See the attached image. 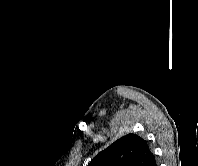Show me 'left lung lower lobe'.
<instances>
[{"instance_id":"left-lung-lower-lobe-1","label":"left lung lower lobe","mask_w":198,"mask_h":166,"mask_svg":"<svg viewBox=\"0 0 198 166\" xmlns=\"http://www.w3.org/2000/svg\"><path fill=\"white\" fill-rule=\"evenodd\" d=\"M152 166H157V165H156V161L152 164Z\"/></svg>"}]
</instances>
